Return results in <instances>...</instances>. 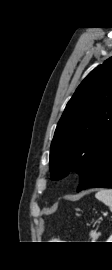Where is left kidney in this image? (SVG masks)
Segmentation results:
<instances>
[{"label": "left kidney", "instance_id": "1", "mask_svg": "<svg viewBox=\"0 0 112 270\" xmlns=\"http://www.w3.org/2000/svg\"><path fill=\"white\" fill-rule=\"evenodd\" d=\"M107 242H112V235L109 237V240Z\"/></svg>", "mask_w": 112, "mask_h": 270}]
</instances>
